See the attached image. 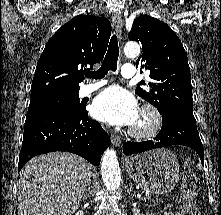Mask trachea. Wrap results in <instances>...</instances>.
Instances as JSON below:
<instances>
[{
	"mask_svg": "<svg viewBox=\"0 0 221 215\" xmlns=\"http://www.w3.org/2000/svg\"><path fill=\"white\" fill-rule=\"evenodd\" d=\"M119 56L118 39L116 34L111 37L107 54L102 62L101 67L96 72H86L85 76L93 79L103 78L109 70L116 71Z\"/></svg>",
	"mask_w": 221,
	"mask_h": 215,
	"instance_id": "3493384b",
	"label": "trachea"
}]
</instances>
